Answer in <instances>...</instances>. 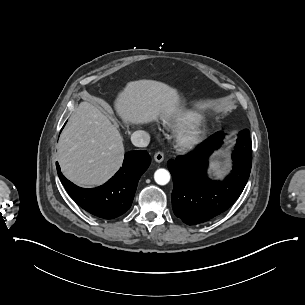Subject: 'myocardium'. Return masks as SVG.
<instances>
[{
  "instance_id": "1",
  "label": "myocardium",
  "mask_w": 305,
  "mask_h": 305,
  "mask_svg": "<svg viewBox=\"0 0 305 305\" xmlns=\"http://www.w3.org/2000/svg\"><path fill=\"white\" fill-rule=\"evenodd\" d=\"M210 134V124L199 120L187 124L181 132L180 140L183 145L194 147L202 144Z\"/></svg>"
}]
</instances>
